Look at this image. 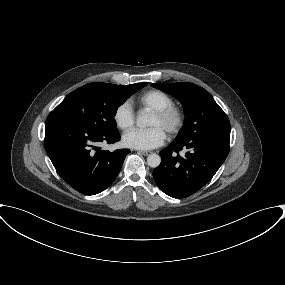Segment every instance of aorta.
Segmentation results:
<instances>
[{"mask_svg": "<svg viewBox=\"0 0 285 285\" xmlns=\"http://www.w3.org/2000/svg\"><path fill=\"white\" fill-rule=\"evenodd\" d=\"M137 125L139 127H146L149 125V120H148V116L147 114L141 112L139 113V115L137 116V121H136ZM161 163V158L159 155L157 154H150L147 157V164L152 167V168H156L160 165Z\"/></svg>", "mask_w": 285, "mask_h": 285, "instance_id": "762f6f07", "label": "aorta"}]
</instances>
